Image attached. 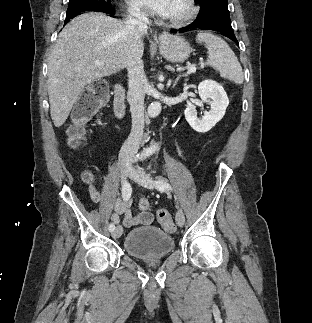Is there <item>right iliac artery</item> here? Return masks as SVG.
<instances>
[{
	"label": "right iliac artery",
	"instance_id": "1",
	"mask_svg": "<svg viewBox=\"0 0 312 323\" xmlns=\"http://www.w3.org/2000/svg\"><path fill=\"white\" fill-rule=\"evenodd\" d=\"M132 188L128 182L122 184V197L124 201H127L131 197ZM109 231H113L115 229V225L111 223L108 227Z\"/></svg>",
	"mask_w": 312,
	"mask_h": 323
}]
</instances>
